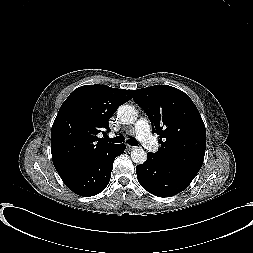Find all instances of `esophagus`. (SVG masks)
Here are the masks:
<instances>
[{
	"label": "esophagus",
	"mask_w": 253,
	"mask_h": 253,
	"mask_svg": "<svg viewBox=\"0 0 253 253\" xmlns=\"http://www.w3.org/2000/svg\"><path fill=\"white\" fill-rule=\"evenodd\" d=\"M127 149L128 150H133V149H135V146L127 145Z\"/></svg>",
	"instance_id": "obj_1"
}]
</instances>
